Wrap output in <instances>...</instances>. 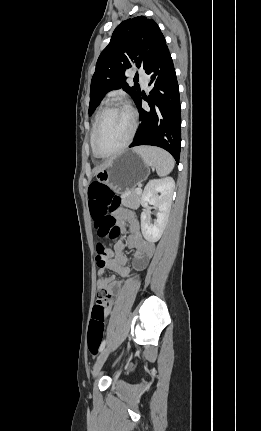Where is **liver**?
<instances>
[{
  "mask_svg": "<svg viewBox=\"0 0 261 431\" xmlns=\"http://www.w3.org/2000/svg\"><path fill=\"white\" fill-rule=\"evenodd\" d=\"M110 161H111V160H110ZM110 161H108V162L104 163L103 165H101L100 167H98V168L96 169V172H98L99 170H101L102 168H104L105 166H107V165L110 163Z\"/></svg>",
  "mask_w": 261,
  "mask_h": 431,
  "instance_id": "6515ba94",
  "label": "liver"
}]
</instances>
